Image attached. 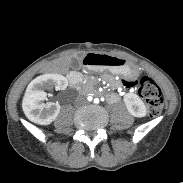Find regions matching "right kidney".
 <instances>
[{"instance_id": "1", "label": "right kidney", "mask_w": 183, "mask_h": 183, "mask_svg": "<svg viewBox=\"0 0 183 183\" xmlns=\"http://www.w3.org/2000/svg\"><path fill=\"white\" fill-rule=\"evenodd\" d=\"M67 79L60 74H45L35 78L28 85L23 101L22 108L26 117L39 125L51 124L60 112L58 103L45 104V90L53 87L59 90L67 88Z\"/></svg>"}]
</instances>
